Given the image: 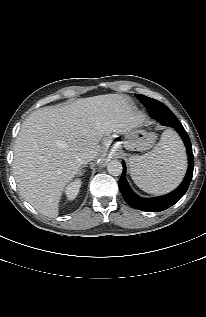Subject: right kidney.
<instances>
[{
    "instance_id": "obj_1",
    "label": "right kidney",
    "mask_w": 206,
    "mask_h": 317,
    "mask_svg": "<svg viewBox=\"0 0 206 317\" xmlns=\"http://www.w3.org/2000/svg\"><path fill=\"white\" fill-rule=\"evenodd\" d=\"M80 187H81V180H75L66 187L65 194L68 200L75 199V197L78 195Z\"/></svg>"
}]
</instances>
